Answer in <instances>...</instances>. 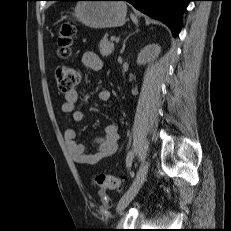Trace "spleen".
<instances>
[{
    "instance_id": "spleen-1",
    "label": "spleen",
    "mask_w": 231,
    "mask_h": 231,
    "mask_svg": "<svg viewBox=\"0 0 231 231\" xmlns=\"http://www.w3.org/2000/svg\"><path fill=\"white\" fill-rule=\"evenodd\" d=\"M130 16H131L132 21L137 25L138 24V19L136 18V16L133 15V14H131Z\"/></svg>"
}]
</instances>
